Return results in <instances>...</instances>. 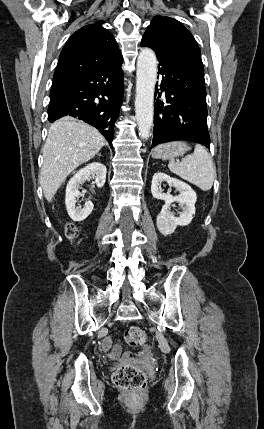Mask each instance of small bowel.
Wrapping results in <instances>:
<instances>
[{
  "label": "small bowel",
  "mask_w": 264,
  "mask_h": 429,
  "mask_svg": "<svg viewBox=\"0 0 264 429\" xmlns=\"http://www.w3.org/2000/svg\"><path fill=\"white\" fill-rule=\"evenodd\" d=\"M102 349L108 354L111 359L117 360L122 359L125 362H129L133 359V354L124 353L121 354V347L119 345H112V338L107 336L102 341Z\"/></svg>",
  "instance_id": "obj_1"
}]
</instances>
